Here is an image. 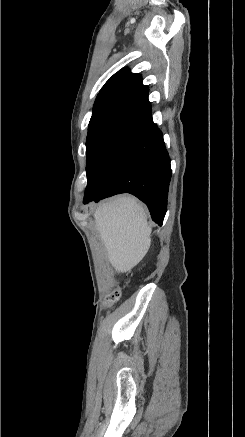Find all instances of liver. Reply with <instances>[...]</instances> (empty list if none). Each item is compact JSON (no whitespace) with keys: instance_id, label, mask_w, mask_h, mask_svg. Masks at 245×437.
I'll list each match as a JSON object with an SVG mask.
<instances>
[{"instance_id":"liver-1","label":"liver","mask_w":245,"mask_h":437,"mask_svg":"<svg viewBox=\"0 0 245 437\" xmlns=\"http://www.w3.org/2000/svg\"><path fill=\"white\" fill-rule=\"evenodd\" d=\"M94 219L109 262L118 273L129 272L151 245L145 209L136 199L121 196L99 206Z\"/></svg>"}]
</instances>
